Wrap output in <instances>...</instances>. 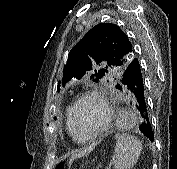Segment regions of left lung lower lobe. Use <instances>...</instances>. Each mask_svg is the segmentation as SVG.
<instances>
[{
    "mask_svg": "<svg viewBox=\"0 0 177 169\" xmlns=\"http://www.w3.org/2000/svg\"><path fill=\"white\" fill-rule=\"evenodd\" d=\"M117 89L120 91L130 92L132 94L135 105L143 117L139 130L151 141H154V134L145 101L143 72L137 58H134L125 68L122 74L121 82L119 83Z\"/></svg>",
    "mask_w": 177,
    "mask_h": 169,
    "instance_id": "1",
    "label": "left lung lower lobe"
}]
</instances>
